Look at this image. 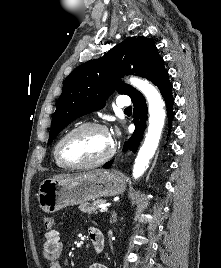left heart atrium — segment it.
I'll use <instances>...</instances> for the list:
<instances>
[{"instance_id":"1","label":"left heart atrium","mask_w":221,"mask_h":268,"mask_svg":"<svg viewBox=\"0 0 221 268\" xmlns=\"http://www.w3.org/2000/svg\"><path fill=\"white\" fill-rule=\"evenodd\" d=\"M117 136H118V132H116V133L110 135V139H111L112 144L116 141Z\"/></svg>"}]
</instances>
